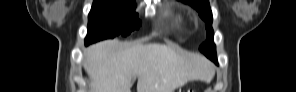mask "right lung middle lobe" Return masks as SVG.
Wrapping results in <instances>:
<instances>
[{
	"mask_svg": "<svg viewBox=\"0 0 296 92\" xmlns=\"http://www.w3.org/2000/svg\"><path fill=\"white\" fill-rule=\"evenodd\" d=\"M135 2L128 0H94L88 15L86 44L119 34L126 36L141 25L134 14Z\"/></svg>",
	"mask_w": 296,
	"mask_h": 92,
	"instance_id": "right-lung-middle-lobe-1",
	"label": "right lung middle lobe"
}]
</instances>
